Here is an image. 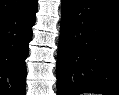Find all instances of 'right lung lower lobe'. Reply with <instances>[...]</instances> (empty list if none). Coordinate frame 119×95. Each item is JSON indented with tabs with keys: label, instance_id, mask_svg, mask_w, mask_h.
Returning <instances> with one entry per match:
<instances>
[{
	"label": "right lung lower lobe",
	"instance_id": "obj_1",
	"mask_svg": "<svg viewBox=\"0 0 119 95\" xmlns=\"http://www.w3.org/2000/svg\"><path fill=\"white\" fill-rule=\"evenodd\" d=\"M38 1L0 19V95H25L28 44L36 20Z\"/></svg>",
	"mask_w": 119,
	"mask_h": 95
}]
</instances>
